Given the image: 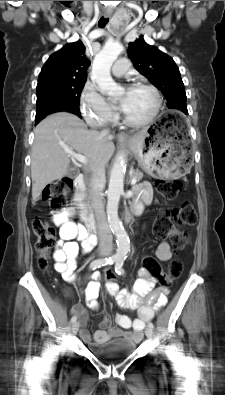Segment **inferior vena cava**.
<instances>
[{
    "label": "inferior vena cava",
    "instance_id": "inferior-vena-cava-1",
    "mask_svg": "<svg viewBox=\"0 0 225 395\" xmlns=\"http://www.w3.org/2000/svg\"><path fill=\"white\" fill-rule=\"evenodd\" d=\"M109 130L104 129L102 134L106 135ZM92 176L90 180V200L95 213L98 236H99V250L102 254H109L112 251V235L106 219L103 203L102 190L105 186V166L104 164H97L91 168Z\"/></svg>",
    "mask_w": 225,
    "mask_h": 395
}]
</instances>
